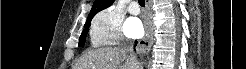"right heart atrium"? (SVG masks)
<instances>
[{
  "label": "right heart atrium",
  "instance_id": "right-heart-atrium-1",
  "mask_svg": "<svg viewBox=\"0 0 246 69\" xmlns=\"http://www.w3.org/2000/svg\"><path fill=\"white\" fill-rule=\"evenodd\" d=\"M122 16L113 8H105L93 18L89 38L93 47L116 45L123 39Z\"/></svg>",
  "mask_w": 246,
  "mask_h": 69
}]
</instances>
